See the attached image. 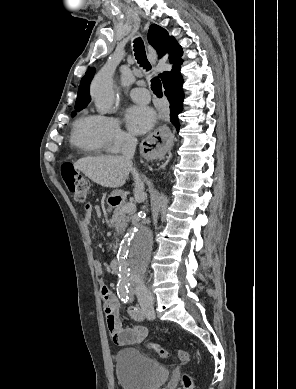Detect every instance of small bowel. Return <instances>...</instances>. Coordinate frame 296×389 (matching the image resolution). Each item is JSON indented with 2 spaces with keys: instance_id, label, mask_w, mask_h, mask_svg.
I'll return each mask as SVG.
<instances>
[{
  "instance_id": "c3829d8e",
  "label": "small bowel",
  "mask_w": 296,
  "mask_h": 389,
  "mask_svg": "<svg viewBox=\"0 0 296 389\" xmlns=\"http://www.w3.org/2000/svg\"><path fill=\"white\" fill-rule=\"evenodd\" d=\"M101 216V209L88 203L85 205V212L82 224L88 230L93 218ZM101 297L104 302L107 329L110 337L116 345L128 346L141 343L148 334L144 326L124 327L119 319V300L115 293L107 286L101 287Z\"/></svg>"
}]
</instances>
